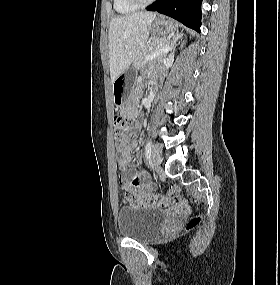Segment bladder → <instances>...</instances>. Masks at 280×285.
<instances>
[{"label":"bladder","instance_id":"31cf9c89","mask_svg":"<svg viewBox=\"0 0 280 285\" xmlns=\"http://www.w3.org/2000/svg\"><path fill=\"white\" fill-rule=\"evenodd\" d=\"M163 222V212L149 206H122L117 215L119 233L135 240L151 239L160 232Z\"/></svg>","mask_w":280,"mask_h":285}]
</instances>
